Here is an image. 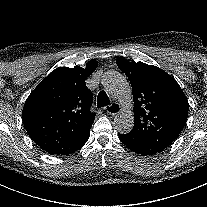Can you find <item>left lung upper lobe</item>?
Here are the masks:
<instances>
[{"mask_svg": "<svg viewBox=\"0 0 207 207\" xmlns=\"http://www.w3.org/2000/svg\"><path fill=\"white\" fill-rule=\"evenodd\" d=\"M116 64L128 77L134 99V127L123 134L131 146L160 152L186 124L189 103L177 81L162 69L123 57Z\"/></svg>", "mask_w": 207, "mask_h": 207, "instance_id": "5c2ea615", "label": "left lung upper lobe"}]
</instances>
